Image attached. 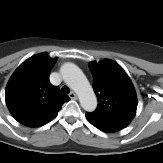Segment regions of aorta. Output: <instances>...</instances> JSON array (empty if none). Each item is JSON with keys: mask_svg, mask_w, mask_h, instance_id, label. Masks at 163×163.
Listing matches in <instances>:
<instances>
[{"mask_svg": "<svg viewBox=\"0 0 163 163\" xmlns=\"http://www.w3.org/2000/svg\"><path fill=\"white\" fill-rule=\"evenodd\" d=\"M60 73L64 81L77 93L82 108L92 112L97 107V99L89 81L82 71L72 63L64 64Z\"/></svg>", "mask_w": 163, "mask_h": 163, "instance_id": "762f6f07", "label": "aorta"}]
</instances>
